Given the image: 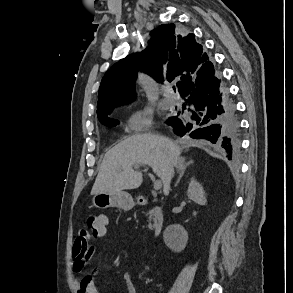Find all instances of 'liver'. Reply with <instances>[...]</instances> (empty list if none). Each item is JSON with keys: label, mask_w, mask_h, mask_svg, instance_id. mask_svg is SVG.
<instances>
[{"label": "liver", "mask_w": 293, "mask_h": 293, "mask_svg": "<svg viewBox=\"0 0 293 293\" xmlns=\"http://www.w3.org/2000/svg\"><path fill=\"white\" fill-rule=\"evenodd\" d=\"M181 148L168 138L155 134L133 135L110 149L104 156L91 194H115L138 188L142 173L133 167L150 166L169 192L168 176L183 158ZM174 172V170H173Z\"/></svg>", "instance_id": "6515ba94"}]
</instances>
